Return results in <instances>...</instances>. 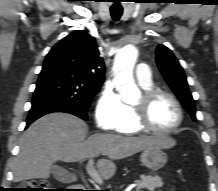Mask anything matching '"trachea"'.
<instances>
[{
  "instance_id": "1",
  "label": "trachea",
  "mask_w": 218,
  "mask_h": 191,
  "mask_svg": "<svg viewBox=\"0 0 218 191\" xmlns=\"http://www.w3.org/2000/svg\"><path fill=\"white\" fill-rule=\"evenodd\" d=\"M110 13H111L113 20L118 21L120 19V17L122 16L123 10H122V8H120V9L111 8Z\"/></svg>"
}]
</instances>
